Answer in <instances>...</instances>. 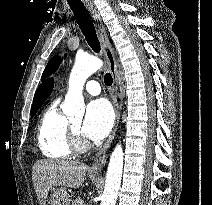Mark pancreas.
I'll list each match as a JSON object with an SVG mask.
<instances>
[{
	"mask_svg": "<svg viewBox=\"0 0 212 205\" xmlns=\"http://www.w3.org/2000/svg\"><path fill=\"white\" fill-rule=\"evenodd\" d=\"M72 205H84V201L82 198H77Z\"/></svg>",
	"mask_w": 212,
	"mask_h": 205,
	"instance_id": "cf45deb5",
	"label": "pancreas"
}]
</instances>
